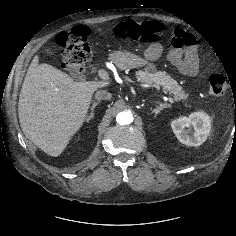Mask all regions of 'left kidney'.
<instances>
[{"label":"left kidney","instance_id":"5707ae66","mask_svg":"<svg viewBox=\"0 0 236 236\" xmlns=\"http://www.w3.org/2000/svg\"><path fill=\"white\" fill-rule=\"evenodd\" d=\"M171 127L181 143L197 147L206 141L211 130V119L206 113L198 111L189 117L173 120Z\"/></svg>","mask_w":236,"mask_h":236}]
</instances>
